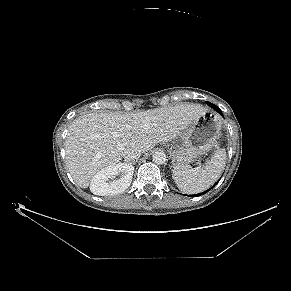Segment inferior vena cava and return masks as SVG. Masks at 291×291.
<instances>
[{"label": "inferior vena cava", "mask_w": 291, "mask_h": 291, "mask_svg": "<svg viewBox=\"0 0 291 291\" xmlns=\"http://www.w3.org/2000/svg\"><path fill=\"white\" fill-rule=\"evenodd\" d=\"M141 149L135 146L127 147L124 152L123 156L126 161L133 162L140 158L141 156Z\"/></svg>", "instance_id": "inferior-vena-cava-1"}]
</instances>
